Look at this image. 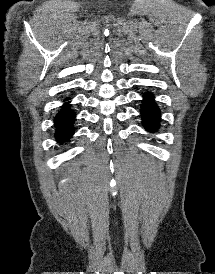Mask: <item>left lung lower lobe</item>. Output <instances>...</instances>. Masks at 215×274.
Here are the masks:
<instances>
[{
	"label": "left lung lower lobe",
	"instance_id": "left-lung-lower-lobe-1",
	"mask_svg": "<svg viewBox=\"0 0 215 274\" xmlns=\"http://www.w3.org/2000/svg\"><path fill=\"white\" fill-rule=\"evenodd\" d=\"M144 100L141 106V116L143 125L146 130L154 132L159 127L160 122V111L155 105L153 95L151 93L144 94Z\"/></svg>",
	"mask_w": 215,
	"mask_h": 274
}]
</instances>
